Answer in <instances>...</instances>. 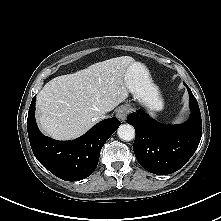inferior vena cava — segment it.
I'll use <instances>...</instances> for the list:
<instances>
[{"label": "inferior vena cava", "mask_w": 221, "mask_h": 221, "mask_svg": "<svg viewBox=\"0 0 221 221\" xmlns=\"http://www.w3.org/2000/svg\"><path fill=\"white\" fill-rule=\"evenodd\" d=\"M104 118H105V115H104V114L100 115V117H99L100 120H101V119H104Z\"/></svg>", "instance_id": "602c4592"}]
</instances>
